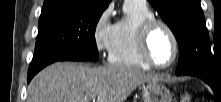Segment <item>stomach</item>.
<instances>
[{"label":"stomach","mask_w":221,"mask_h":102,"mask_svg":"<svg viewBox=\"0 0 221 102\" xmlns=\"http://www.w3.org/2000/svg\"><path fill=\"white\" fill-rule=\"evenodd\" d=\"M144 102H172L169 89L158 81H151L143 87Z\"/></svg>","instance_id":"0dacf381"}]
</instances>
